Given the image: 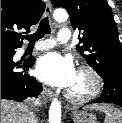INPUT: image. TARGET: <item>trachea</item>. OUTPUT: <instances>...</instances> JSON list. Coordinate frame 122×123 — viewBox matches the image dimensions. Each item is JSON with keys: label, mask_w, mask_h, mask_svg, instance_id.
I'll return each mask as SVG.
<instances>
[{"label": "trachea", "mask_w": 122, "mask_h": 123, "mask_svg": "<svg viewBox=\"0 0 122 123\" xmlns=\"http://www.w3.org/2000/svg\"><path fill=\"white\" fill-rule=\"evenodd\" d=\"M51 28L49 25L48 18L45 17L41 20L37 31L34 34L27 35L25 38L29 41L30 45L35 44L36 41L41 39L45 34H50Z\"/></svg>", "instance_id": "obj_1"}]
</instances>
